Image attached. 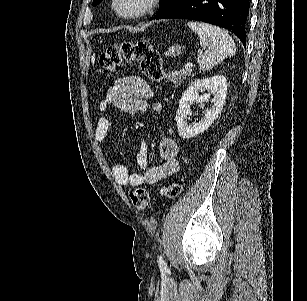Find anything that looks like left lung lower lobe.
Wrapping results in <instances>:
<instances>
[{"mask_svg": "<svg viewBox=\"0 0 307 301\" xmlns=\"http://www.w3.org/2000/svg\"><path fill=\"white\" fill-rule=\"evenodd\" d=\"M250 0H178L156 19L198 20L234 33L246 47Z\"/></svg>", "mask_w": 307, "mask_h": 301, "instance_id": "1", "label": "left lung lower lobe"}]
</instances>
